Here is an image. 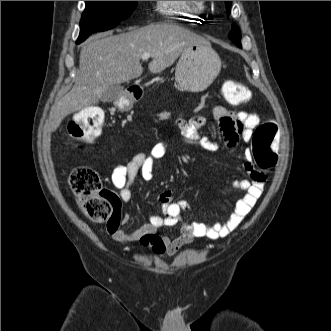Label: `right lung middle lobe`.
<instances>
[{
	"label": "right lung middle lobe",
	"mask_w": 331,
	"mask_h": 331,
	"mask_svg": "<svg viewBox=\"0 0 331 331\" xmlns=\"http://www.w3.org/2000/svg\"><path fill=\"white\" fill-rule=\"evenodd\" d=\"M137 1H86V9L80 22V35L77 44L90 34L105 31L117 26L130 16Z\"/></svg>",
	"instance_id": "obj_1"
}]
</instances>
